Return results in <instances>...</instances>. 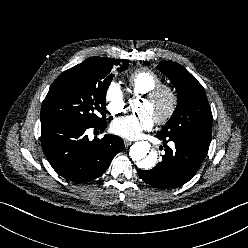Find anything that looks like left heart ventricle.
<instances>
[{"instance_id": "left-heart-ventricle-1", "label": "left heart ventricle", "mask_w": 248, "mask_h": 248, "mask_svg": "<svg viewBox=\"0 0 248 248\" xmlns=\"http://www.w3.org/2000/svg\"><path fill=\"white\" fill-rule=\"evenodd\" d=\"M168 107V98L166 96L161 97L156 101H149L144 99L140 107V111L149 113L153 119L160 117L165 113Z\"/></svg>"}]
</instances>
